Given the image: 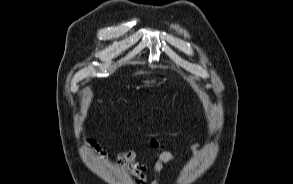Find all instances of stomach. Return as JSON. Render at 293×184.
<instances>
[{
	"label": "stomach",
	"instance_id": "0dacf381",
	"mask_svg": "<svg viewBox=\"0 0 293 184\" xmlns=\"http://www.w3.org/2000/svg\"><path fill=\"white\" fill-rule=\"evenodd\" d=\"M144 83H145V85L149 86V85L154 84L155 81L154 80H145Z\"/></svg>",
	"mask_w": 293,
	"mask_h": 184
}]
</instances>
